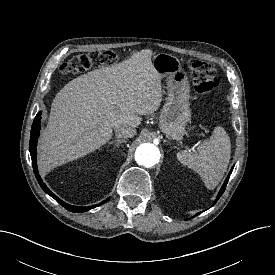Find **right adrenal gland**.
Wrapping results in <instances>:
<instances>
[{"label":"right adrenal gland","instance_id":"1","mask_svg":"<svg viewBox=\"0 0 275 275\" xmlns=\"http://www.w3.org/2000/svg\"><path fill=\"white\" fill-rule=\"evenodd\" d=\"M125 142H126L125 139H119V138H117V139H115V140L109 142V145L115 144L116 147H120V145H121L122 143H125Z\"/></svg>","mask_w":275,"mask_h":275}]
</instances>
